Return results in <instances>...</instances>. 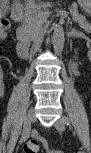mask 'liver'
I'll return each mask as SVG.
<instances>
[{
    "mask_svg": "<svg viewBox=\"0 0 91 153\" xmlns=\"http://www.w3.org/2000/svg\"><path fill=\"white\" fill-rule=\"evenodd\" d=\"M3 2H4L5 4H8V1H7V0H4ZM29 4H30V6H31L32 8H34L33 12H36L34 3H33V2H30Z\"/></svg>",
    "mask_w": 91,
    "mask_h": 153,
    "instance_id": "1",
    "label": "liver"
}]
</instances>
